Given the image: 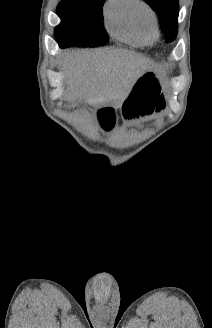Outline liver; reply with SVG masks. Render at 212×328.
I'll list each match as a JSON object with an SVG mask.
<instances>
[{
    "label": "liver",
    "mask_w": 212,
    "mask_h": 328,
    "mask_svg": "<svg viewBox=\"0 0 212 328\" xmlns=\"http://www.w3.org/2000/svg\"><path fill=\"white\" fill-rule=\"evenodd\" d=\"M69 62V64H68ZM144 58L130 50L101 48L69 55L66 99L121 105L142 72Z\"/></svg>",
    "instance_id": "obj_1"
}]
</instances>
